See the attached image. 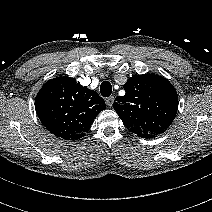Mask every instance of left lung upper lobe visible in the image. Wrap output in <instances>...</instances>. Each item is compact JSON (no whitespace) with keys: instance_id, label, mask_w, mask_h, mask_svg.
<instances>
[{"instance_id":"1","label":"left lung upper lobe","mask_w":212,"mask_h":212,"mask_svg":"<svg viewBox=\"0 0 212 212\" xmlns=\"http://www.w3.org/2000/svg\"><path fill=\"white\" fill-rule=\"evenodd\" d=\"M124 89L125 95L114 101V109L124 125L142 138L165 132L178 109L173 85L161 76L145 74L129 78Z\"/></svg>"}]
</instances>
